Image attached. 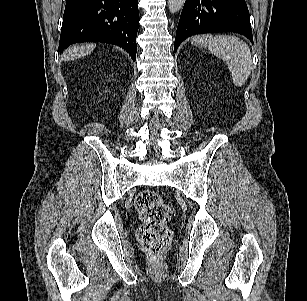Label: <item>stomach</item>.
I'll return each mask as SVG.
<instances>
[{
	"mask_svg": "<svg viewBox=\"0 0 307 301\" xmlns=\"http://www.w3.org/2000/svg\"><path fill=\"white\" fill-rule=\"evenodd\" d=\"M210 40L207 35L198 36L193 39L194 45L205 47Z\"/></svg>",
	"mask_w": 307,
	"mask_h": 301,
	"instance_id": "stomach-1",
	"label": "stomach"
}]
</instances>
